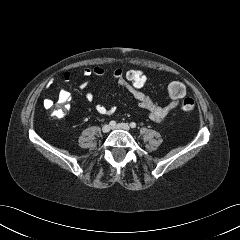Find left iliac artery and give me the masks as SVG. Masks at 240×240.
Returning a JSON list of instances; mask_svg holds the SVG:
<instances>
[{
    "label": "left iliac artery",
    "mask_w": 240,
    "mask_h": 240,
    "mask_svg": "<svg viewBox=\"0 0 240 240\" xmlns=\"http://www.w3.org/2000/svg\"><path fill=\"white\" fill-rule=\"evenodd\" d=\"M130 126H131V128H135L136 127V123L135 122H131Z\"/></svg>",
    "instance_id": "left-iliac-artery-1"
}]
</instances>
